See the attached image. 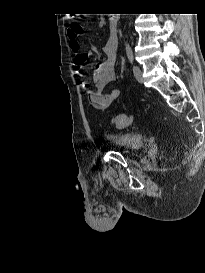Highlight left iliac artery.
Here are the masks:
<instances>
[{
	"mask_svg": "<svg viewBox=\"0 0 205 273\" xmlns=\"http://www.w3.org/2000/svg\"><path fill=\"white\" fill-rule=\"evenodd\" d=\"M126 54H127V57L129 59L130 63H133V60H134L133 52H132V49L128 43H126Z\"/></svg>",
	"mask_w": 205,
	"mask_h": 273,
	"instance_id": "44dca946",
	"label": "left iliac artery"
}]
</instances>
